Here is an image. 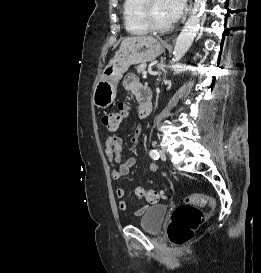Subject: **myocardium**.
<instances>
[{"instance_id": "f54148a6", "label": "myocardium", "mask_w": 261, "mask_h": 273, "mask_svg": "<svg viewBox=\"0 0 261 273\" xmlns=\"http://www.w3.org/2000/svg\"><path fill=\"white\" fill-rule=\"evenodd\" d=\"M154 0H143L141 5V19L149 30L165 32L173 27V22L167 25H159L153 16L152 7Z\"/></svg>"}]
</instances>
